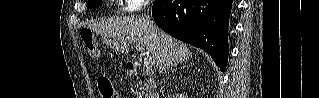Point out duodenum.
Segmentation results:
<instances>
[{
	"label": "duodenum",
	"instance_id": "obj_1",
	"mask_svg": "<svg viewBox=\"0 0 319 98\" xmlns=\"http://www.w3.org/2000/svg\"><path fill=\"white\" fill-rule=\"evenodd\" d=\"M125 68H126L128 75H130L132 77H141V73L139 71V68L133 62H127ZM143 80L146 82V84L150 87V89L153 92L149 96V98H158L157 94L154 93V89H155L154 84L151 83L150 81L144 79V78H143Z\"/></svg>",
	"mask_w": 319,
	"mask_h": 98
}]
</instances>
